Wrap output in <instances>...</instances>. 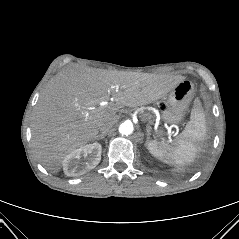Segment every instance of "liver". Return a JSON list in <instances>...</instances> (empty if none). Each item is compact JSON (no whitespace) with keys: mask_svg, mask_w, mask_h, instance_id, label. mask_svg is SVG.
<instances>
[{"mask_svg":"<svg viewBox=\"0 0 239 239\" xmlns=\"http://www.w3.org/2000/svg\"><path fill=\"white\" fill-rule=\"evenodd\" d=\"M183 80L87 67L63 70L50 81L34 109L31 131L37 158L48 171L59 173L69 153L98 137L102 123L117 122L121 108L159 100Z\"/></svg>","mask_w":239,"mask_h":239,"instance_id":"liver-1","label":"liver"}]
</instances>
